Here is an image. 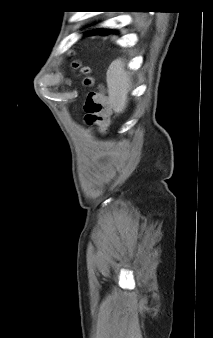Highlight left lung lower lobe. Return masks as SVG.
<instances>
[{"label":"left lung lower lobe","mask_w":213,"mask_h":338,"mask_svg":"<svg viewBox=\"0 0 213 338\" xmlns=\"http://www.w3.org/2000/svg\"><path fill=\"white\" fill-rule=\"evenodd\" d=\"M111 32H112V30L100 28V29H93V30L87 31V32H85V34H87V35H95V34L108 35Z\"/></svg>","instance_id":"1"}]
</instances>
